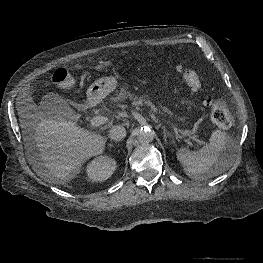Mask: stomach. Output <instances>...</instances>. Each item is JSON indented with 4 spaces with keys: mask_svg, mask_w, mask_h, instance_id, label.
<instances>
[{
    "mask_svg": "<svg viewBox=\"0 0 263 263\" xmlns=\"http://www.w3.org/2000/svg\"><path fill=\"white\" fill-rule=\"evenodd\" d=\"M117 87V80L113 76L102 77L96 80L88 89L87 97L90 102H97L114 91ZM117 99H120L119 96Z\"/></svg>",
    "mask_w": 263,
    "mask_h": 263,
    "instance_id": "obj_1",
    "label": "stomach"
}]
</instances>
